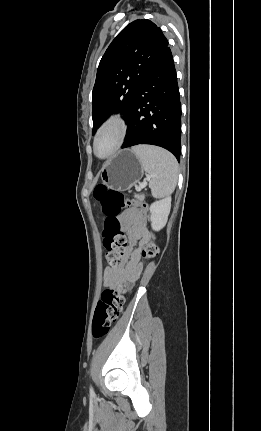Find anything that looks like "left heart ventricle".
<instances>
[{
  "mask_svg": "<svg viewBox=\"0 0 261 431\" xmlns=\"http://www.w3.org/2000/svg\"><path fill=\"white\" fill-rule=\"evenodd\" d=\"M116 141V132L114 129L106 130L98 139L97 142V153L99 155H105L108 153Z\"/></svg>",
  "mask_w": 261,
  "mask_h": 431,
  "instance_id": "obj_1",
  "label": "left heart ventricle"
}]
</instances>
